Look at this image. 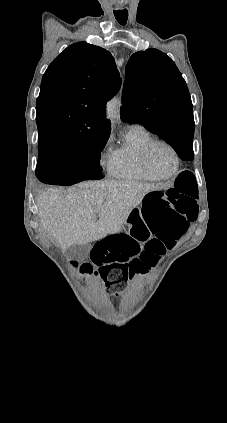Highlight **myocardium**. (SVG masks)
<instances>
[{
    "instance_id": "1",
    "label": "myocardium",
    "mask_w": 227,
    "mask_h": 423,
    "mask_svg": "<svg viewBox=\"0 0 227 423\" xmlns=\"http://www.w3.org/2000/svg\"><path fill=\"white\" fill-rule=\"evenodd\" d=\"M158 145H161V146L168 148L174 156V160H175L174 170L169 175H166V176H161V175H158L157 173H155L153 171V169L151 168L150 163H149V155H150L152 149L155 146H158ZM140 161H141V166H142L143 170L145 171V173L149 177H151L155 180H162V181L170 180L178 174L180 167H181V159H180L178 151L176 150V148L172 144H170L169 142L164 141V140H153L152 139L151 141L146 143L140 151Z\"/></svg>"
}]
</instances>
